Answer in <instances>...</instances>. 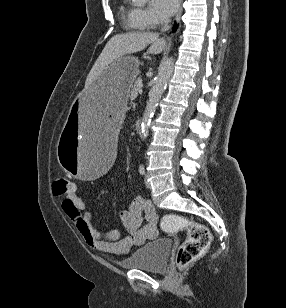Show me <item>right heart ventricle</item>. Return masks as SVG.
Here are the masks:
<instances>
[{
  "label": "right heart ventricle",
  "instance_id": "e07e8e85",
  "mask_svg": "<svg viewBox=\"0 0 286 308\" xmlns=\"http://www.w3.org/2000/svg\"><path fill=\"white\" fill-rule=\"evenodd\" d=\"M120 15L126 29L132 31H142L146 29L140 24L138 9L122 4L120 7Z\"/></svg>",
  "mask_w": 286,
  "mask_h": 308
}]
</instances>
